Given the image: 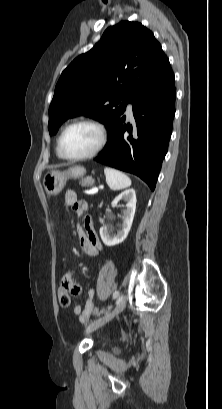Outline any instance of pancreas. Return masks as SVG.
Returning <instances> with one entry per match:
<instances>
[{
	"label": "pancreas",
	"instance_id": "1",
	"mask_svg": "<svg viewBox=\"0 0 222 409\" xmlns=\"http://www.w3.org/2000/svg\"><path fill=\"white\" fill-rule=\"evenodd\" d=\"M93 183H94V182H93V180H92L91 178H86V179H84V180L81 181V185H82L83 187L92 186Z\"/></svg>",
	"mask_w": 222,
	"mask_h": 409
}]
</instances>
